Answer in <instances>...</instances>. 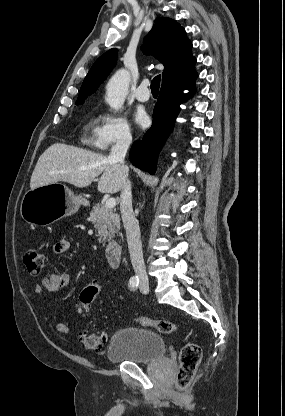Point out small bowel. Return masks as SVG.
Returning <instances> with one entry per match:
<instances>
[{
  "label": "small bowel",
  "instance_id": "small-bowel-1",
  "mask_svg": "<svg viewBox=\"0 0 285 416\" xmlns=\"http://www.w3.org/2000/svg\"><path fill=\"white\" fill-rule=\"evenodd\" d=\"M70 248V242L68 240L62 239L55 243L54 252L57 254L65 253ZM71 277L67 272L55 271L50 273L41 279V281L35 285L34 292L38 295L48 293H58L70 286ZM57 320L55 322V330L60 334H68L69 328L60 315H56Z\"/></svg>",
  "mask_w": 285,
  "mask_h": 416
}]
</instances>
